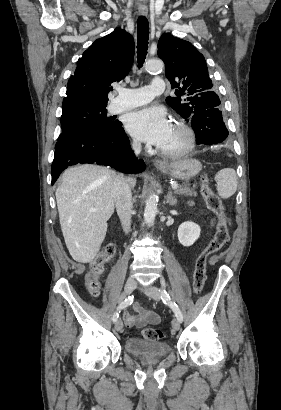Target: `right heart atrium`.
<instances>
[{
  "label": "right heart atrium",
  "mask_w": 281,
  "mask_h": 410,
  "mask_svg": "<svg viewBox=\"0 0 281 410\" xmlns=\"http://www.w3.org/2000/svg\"><path fill=\"white\" fill-rule=\"evenodd\" d=\"M132 146L134 149H139L140 148V143L137 140H134L132 142Z\"/></svg>",
  "instance_id": "obj_1"
}]
</instances>
